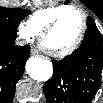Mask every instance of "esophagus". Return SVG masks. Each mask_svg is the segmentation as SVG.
<instances>
[{
	"label": "esophagus",
	"mask_w": 103,
	"mask_h": 103,
	"mask_svg": "<svg viewBox=\"0 0 103 103\" xmlns=\"http://www.w3.org/2000/svg\"><path fill=\"white\" fill-rule=\"evenodd\" d=\"M30 51H31V54H32V55H36V54H37V50L34 49V48H32Z\"/></svg>",
	"instance_id": "34e87169"
}]
</instances>
